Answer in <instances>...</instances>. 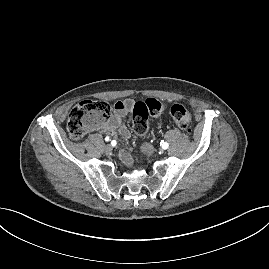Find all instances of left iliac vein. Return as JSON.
Here are the masks:
<instances>
[{
    "mask_svg": "<svg viewBox=\"0 0 269 269\" xmlns=\"http://www.w3.org/2000/svg\"><path fill=\"white\" fill-rule=\"evenodd\" d=\"M144 147H145V149H146V151H145L146 154H148V155H150V156L153 155V153H154V152H153V148H152L149 144H145Z\"/></svg>",
    "mask_w": 269,
    "mask_h": 269,
    "instance_id": "obj_1",
    "label": "left iliac vein"
}]
</instances>
